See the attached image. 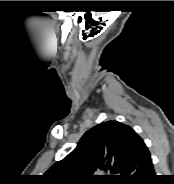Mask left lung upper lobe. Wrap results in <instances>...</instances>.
<instances>
[{"mask_svg":"<svg viewBox=\"0 0 174 184\" xmlns=\"http://www.w3.org/2000/svg\"><path fill=\"white\" fill-rule=\"evenodd\" d=\"M139 140L141 138L128 125L118 121L102 122L87 131L76 148L46 174L54 184L123 181ZM102 172L113 175L100 176Z\"/></svg>","mask_w":174,"mask_h":184,"instance_id":"left-lung-upper-lobe-1","label":"left lung upper lobe"}]
</instances>
